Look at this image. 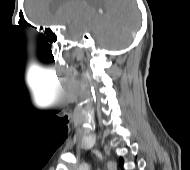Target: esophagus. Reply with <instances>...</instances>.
I'll use <instances>...</instances> for the list:
<instances>
[{
	"label": "esophagus",
	"instance_id": "34e87169",
	"mask_svg": "<svg viewBox=\"0 0 190 170\" xmlns=\"http://www.w3.org/2000/svg\"><path fill=\"white\" fill-rule=\"evenodd\" d=\"M107 168H108V170H116V165L113 161H108Z\"/></svg>",
	"mask_w": 190,
	"mask_h": 170
}]
</instances>
